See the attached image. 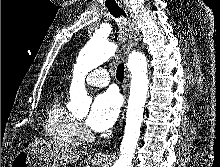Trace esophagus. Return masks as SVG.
<instances>
[{
    "label": "esophagus",
    "instance_id": "1",
    "mask_svg": "<svg viewBox=\"0 0 220 167\" xmlns=\"http://www.w3.org/2000/svg\"><path fill=\"white\" fill-rule=\"evenodd\" d=\"M126 13L128 14L129 17V42H128V51H131L137 44L139 43L140 36H139V31L137 28V25L134 21L132 11L129 7L125 8ZM129 87V71L127 68L125 69V80H124V86H123V93L124 97L126 98V93ZM109 157L108 150H101L98 151L95 154V159L96 160H105Z\"/></svg>",
    "mask_w": 220,
    "mask_h": 167
}]
</instances>
